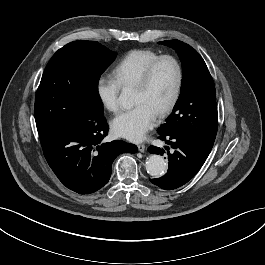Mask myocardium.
Returning a JSON list of instances; mask_svg holds the SVG:
<instances>
[{"instance_id": "f54148a6", "label": "myocardium", "mask_w": 265, "mask_h": 265, "mask_svg": "<svg viewBox=\"0 0 265 265\" xmlns=\"http://www.w3.org/2000/svg\"><path fill=\"white\" fill-rule=\"evenodd\" d=\"M165 60H169V61L173 62V64L175 65L176 70H177V81H176L175 90H174V93H173L171 100L157 114V116L159 118H164V117L168 116L174 110V108L176 107V105L180 99V96L182 93V88H183V82H184V72H183V67H182L180 61L175 56H172V55L158 56L144 69L140 78L138 79V81L134 85V88H136V89L145 90L150 84L151 77L153 75L155 68L157 67V65L160 62L165 61Z\"/></svg>"}]
</instances>
